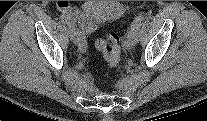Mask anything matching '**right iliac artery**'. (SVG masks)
Listing matches in <instances>:
<instances>
[{
    "label": "right iliac artery",
    "instance_id": "right-iliac-artery-1",
    "mask_svg": "<svg viewBox=\"0 0 207 121\" xmlns=\"http://www.w3.org/2000/svg\"><path fill=\"white\" fill-rule=\"evenodd\" d=\"M60 19L63 23H66L69 27L74 25L70 21V19L67 15L62 14L60 16ZM77 34H78V43H79L78 46H79V48H81V47L85 46V39H84L83 35L81 34V32H77Z\"/></svg>",
    "mask_w": 207,
    "mask_h": 121
}]
</instances>
